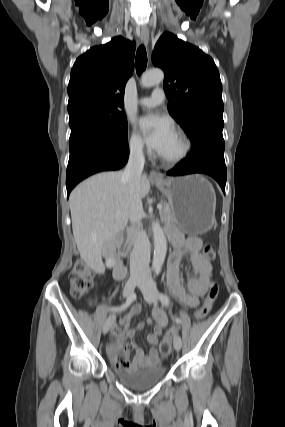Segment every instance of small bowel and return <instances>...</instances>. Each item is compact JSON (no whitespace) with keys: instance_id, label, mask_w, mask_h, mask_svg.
<instances>
[{"instance_id":"small-bowel-1","label":"small bowel","mask_w":285,"mask_h":427,"mask_svg":"<svg viewBox=\"0 0 285 427\" xmlns=\"http://www.w3.org/2000/svg\"><path fill=\"white\" fill-rule=\"evenodd\" d=\"M172 240L175 247L174 253L170 256L168 262L167 282L172 293L185 305L194 308L200 303V300L205 296L208 289L212 285V265L210 261L200 254L202 242L198 237L184 238L178 231L171 230ZM189 255L194 276L188 279L187 289L181 283L179 277L180 263L184 255ZM188 290V291H187ZM143 308V304H135L130 312L119 320L112 328V334L115 338L108 346L109 357L116 366H124L128 368L157 366L159 357L156 348L154 347L162 335L164 329L168 326V315L160 309L153 310V317L147 318L145 322L140 323L135 329L132 327L131 319L139 314ZM155 322L153 332L148 334L147 342L152 346L145 354L133 341L137 330H141L145 324ZM131 341V347L134 350L132 358L129 353L125 354V361L118 363L116 356L119 350L124 346L125 340Z\"/></svg>"}]
</instances>
